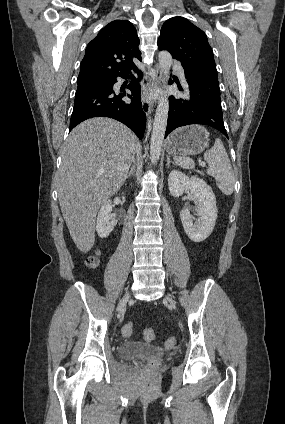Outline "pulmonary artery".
<instances>
[{
	"label": "pulmonary artery",
	"mask_w": 285,
	"mask_h": 424,
	"mask_svg": "<svg viewBox=\"0 0 285 424\" xmlns=\"http://www.w3.org/2000/svg\"><path fill=\"white\" fill-rule=\"evenodd\" d=\"M173 70L180 75L182 82L186 85V80H185L184 75H183V68L178 64H174Z\"/></svg>",
	"instance_id": "1"
}]
</instances>
